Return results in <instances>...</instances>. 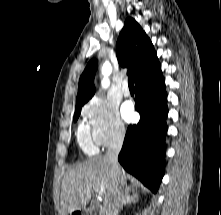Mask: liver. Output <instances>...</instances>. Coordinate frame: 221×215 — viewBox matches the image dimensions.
I'll return each mask as SVG.
<instances>
[{
  "instance_id": "obj_1",
  "label": "liver",
  "mask_w": 221,
  "mask_h": 215,
  "mask_svg": "<svg viewBox=\"0 0 221 215\" xmlns=\"http://www.w3.org/2000/svg\"><path fill=\"white\" fill-rule=\"evenodd\" d=\"M124 188L127 186V175L122 171ZM116 180L113 176L111 165L106 156L91 158L64 175L61 187V210L60 215H67L76 210H81L91 199L92 192L103 190L100 196L104 198V205L112 197L115 190ZM134 191V190H133Z\"/></svg>"
}]
</instances>
